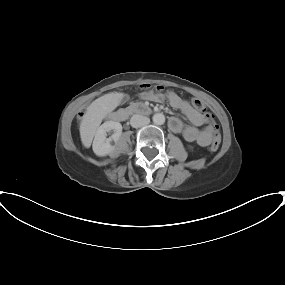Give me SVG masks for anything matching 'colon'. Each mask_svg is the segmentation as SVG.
<instances>
[{
    "label": "colon",
    "instance_id": "colon-1",
    "mask_svg": "<svg viewBox=\"0 0 285 285\" xmlns=\"http://www.w3.org/2000/svg\"><path fill=\"white\" fill-rule=\"evenodd\" d=\"M140 88L141 90L145 92L146 91L160 92L164 89V87L162 86L151 87L150 84H142ZM191 102L195 108L203 112V116L208 124V129L211 134V149L216 150L219 147L220 142H221V134H220L219 126L214 120L213 114L208 110L207 106L202 100L198 98H193Z\"/></svg>",
    "mask_w": 285,
    "mask_h": 285
}]
</instances>
